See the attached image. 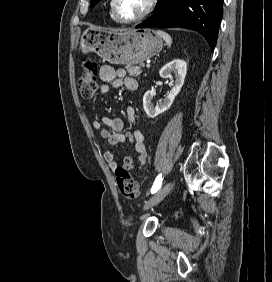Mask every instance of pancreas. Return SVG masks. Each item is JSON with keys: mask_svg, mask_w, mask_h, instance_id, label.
Returning a JSON list of instances; mask_svg holds the SVG:
<instances>
[{"mask_svg": "<svg viewBox=\"0 0 272 282\" xmlns=\"http://www.w3.org/2000/svg\"><path fill=\"white\" fill-rule=\"evenodd\" d=\"M126 70L132 77H138L142 73L141 66L127 65Z\"/></svg>", "mask_w": 272, "mask_h": 282, "instance_id": "1", "label": "pancreas"}]
</instances>
